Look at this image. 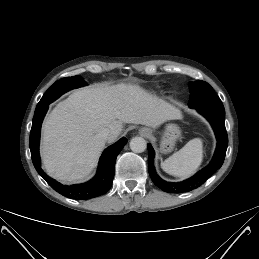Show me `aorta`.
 I'll use <instances>...</instances> for the list:
<instances>
[{"instance_id":"762f6f07","label":"aorta","mask_w":259,"mask_h":259,"mask_svg":"<svg viewBox=\"0 0 259 259\" xmlns=\"http://www.w3.org/2000/svg\"><path fill=\"white\" fill-rule=\"evenodd\" d=\"M147 143L142 137H134L130 141V149L135 153H142L146 150Z\"/></svg>"}]
</instances>
